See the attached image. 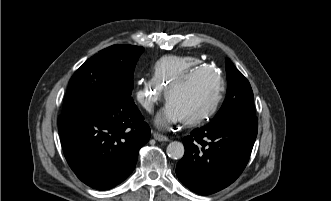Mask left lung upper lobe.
I'll use <instances>...</instances> for the list:
<instances>
[{"instance_id": "5c2ea615", "label": "left lung upper lobe", "mask_w": 331, "mask_h": 201, "mask_svg": "<svg viewBox=\"0 0 331 201\" xmlns=\"http://www.w3.org/2000/svg\"><path fill=\"white\" fill-rule=\"evenodd\" d=\"M228 88L225 101L216 116L211 120L255 117L253 91L248 80L226 58Z\"/></svg>"}]
</instances>
